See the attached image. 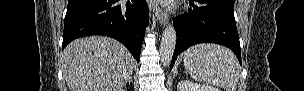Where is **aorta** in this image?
Here are the masks:
<instances>
[{
	"instance_id": "762f6f07",
	"label": "aorta",
	"mask_w": 304,
	"mask_h": 91,
	"mask_svg": "<svg viewBox=\"0 0 304 91\" xmlns=\"http://www.w3.org/2000/svg\"><path fill=\"white\" fill-rule=\"evenodd\" d=\"M176 30L173 24H169L163 31L160 44V57L164 66H169L176 47Z\"/></svg>"
}]
</instances>
